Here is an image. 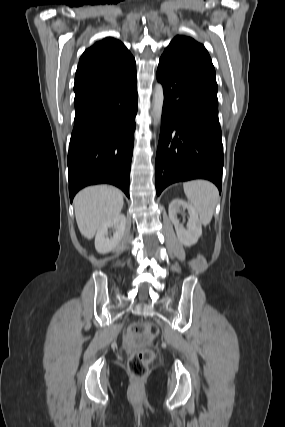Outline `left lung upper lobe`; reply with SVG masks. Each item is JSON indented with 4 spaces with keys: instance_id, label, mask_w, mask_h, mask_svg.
I'll use <instances>...</instances> for the list:
<instances>
[{
    "instance_id": "left-lung-upper-lobe-1",
    "label": "left lung upper lobe",
    "mask_w": 285,
    "mask_h": 427,
    "mask_svg": "<svg viewBox=\"0 0 285 427\" xmlns=\"http://www.w3.org/2000/svg\"><path fill=\"white\" fill-rule=\"evenodd\" d=\"M173 68L218 89L215 69L205 47L188 36H176L161 56Z\"/></svg>"
}]
</instances>
